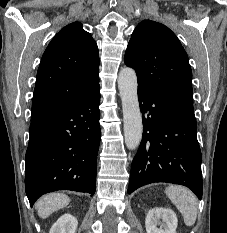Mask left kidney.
<instances>
[{
	"label": "left kidney",
	"mask_w": 227,
	"mask_h": 233,
	"mask_svg": "<svg viewBox=\"0 0 227 233\" xmlns=\"http://www.w3.org/2000/svg\"><path fill=\"white\" fill-rule=\"evenodd\" d=\"M177 225V216L169 208H153L146 215L147 233H176Z\"/></svg>",
	"instance_id": "1"
}]
</instances>
